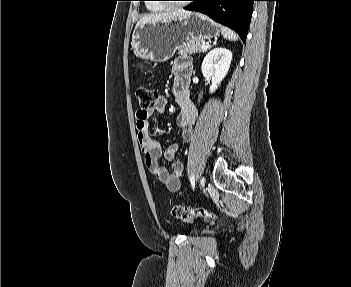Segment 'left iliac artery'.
Instances as JSON below:
<instances>
[{
  "instance_id": "1",
  "label": "left iliac artery",
  "mask_w": 351,
  "mask_h": 287,
  "mask_svg": "<svg viewBox=\"0 0 351 287\" xmlns=\"http://www.w3.org/2000/svg\"><path fill=\"white\" fill-rule=\"evenodd\" d=\"M190 182H191L192 188L194 189V187H195V177H194V174H193V173L191 174Z\"/></svg>"
}]
</instances>
